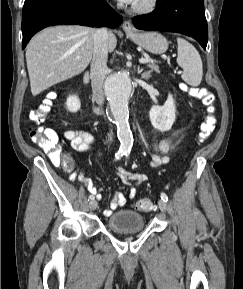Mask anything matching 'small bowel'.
<instances>
[{
	"instance_id": "1",
	"label": "small bowel",
	"mask_w": 243,
	"mask_h": 289,
	"mask_svg": "<svg viewBox=\"0 0 243 289\" xmlns=\"http://www.w3.org/2000/svg\"><path fill=\"white\" fill-rule=\"evenodd\" d=\"M63 137L70 142L72 149L82 152H97L100 156L96 147L99 139L92 134L80 129L71 128L63 132ZM175 143L176 141L173 137L163 138L159 142H155L153 144V154L150 165L158 166L166 163L169 159L168 153L173 149ZM117 175L124 184L131 185L128 195L130 199L136 196V187L144 183L147 179L146 175L142 172H131L123 168L117 169ZM71 179H79L88 185L89 191L95 195L97 199L102 198V190L95 188L91 184V181L88 178H85L81 173H73ZM126 203V196L121 192H117L110 202V208L104 211V215L110 216L113 211L124 207Z\"/></svg>"
}]
</instances>
